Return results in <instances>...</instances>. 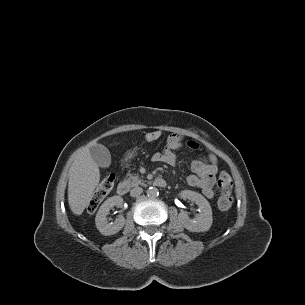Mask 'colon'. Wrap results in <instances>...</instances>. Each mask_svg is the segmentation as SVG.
I'll list each match as a JSON object with an SVG mask.
<instances>
[{
  "instance_id": "obj_1",
  "label": "colon",
  "mask_w": 305,
  "mask_h": 305,
  "mask_svg": "<svg viewBox=\"0 0 305 305\" xmlns=\"http://www.w3.org/2000/svg\"><path fill=\"white\" fill-rule=\"evenodd\" d=\"M161 135L162 132L159 130L152 131L145 135V140L147 142H153L158 140ZM188 145L191 148L196 147L193 142H189ZM115 179L116 178L114 174H108L103 178L87 205V211L89 213L95 212L100 206V204L103 202V200L108 196L115 184ZM217 188L219 190V196L217 200L218 207L223 211L229 210L233 204V197L231 194V176L227 173H221L217 180Z\"/></svg>"
}]
</instances>
